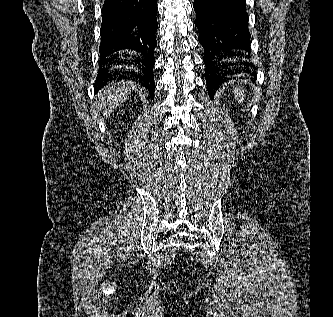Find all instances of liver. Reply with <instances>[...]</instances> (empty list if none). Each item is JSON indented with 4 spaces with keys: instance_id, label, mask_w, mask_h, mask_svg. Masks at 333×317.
<instances>
[{
    "instance_id": "1",
    "label": "liver",
    "mask_w": 333,
    "mask_h": 317,
    "mask_svg": "<svg viewBox=\"0 0 333 317\" xmlns=\"http://www.w3.org/2000/svg\"><path fill=\"white\" fill-rule=\"evenodd\" d=\"M134 83L131 81L113 82L104 87L97 96L96 108L104 117H109L112 112L126 101Z\"/></svg>"
}]
</instances>
